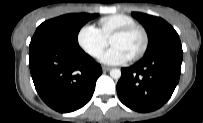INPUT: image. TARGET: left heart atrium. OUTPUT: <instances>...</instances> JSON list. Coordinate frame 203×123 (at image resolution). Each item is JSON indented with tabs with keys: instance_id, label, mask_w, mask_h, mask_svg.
I'll use <instances>...</instances> for the list:
<instances>
[{
	"instance_id": "left-heart-atrium-1",
	"label": "left heart atrium",
	"mask_w": 203,
	"mask_h": 123,
	"mask_svg": "<svg viewBox=\"0 0 203 123\" xmlns=\"http://www.w3.org/2000/svg\"><path fill=\"white\" fill-rule=\"evenodd\" d=\"M131 57L125 53L122 49L116 46H112L101 56V61L110 65L123 64L129 61Z\"/></svg>"
}]
</instances>
